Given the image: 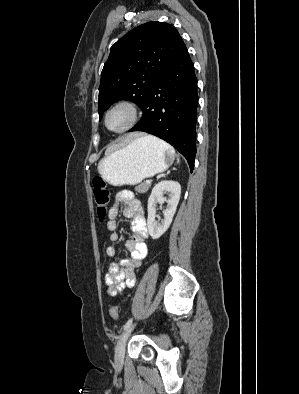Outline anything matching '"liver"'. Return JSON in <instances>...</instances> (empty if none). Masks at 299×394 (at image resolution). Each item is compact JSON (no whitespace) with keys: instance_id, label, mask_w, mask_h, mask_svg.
<instances>
[{"instance_id":"6515ba94","label":"liver","mask_w":299,"mask_h":394,"mask_svg":"<svg viewBox=\"0 0 299 394\" xmlns=\"http://www.w3.org/2000/svg\"><path fill=\"white\" fill-rule=\"evenodd\" d=\"M141 136V134H130V135H128L126 138H125V140L123 141V143H129L130 141H132L133 139H135V138H138V137H140Z\"/></svg>"}]
</instances>
